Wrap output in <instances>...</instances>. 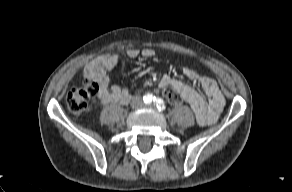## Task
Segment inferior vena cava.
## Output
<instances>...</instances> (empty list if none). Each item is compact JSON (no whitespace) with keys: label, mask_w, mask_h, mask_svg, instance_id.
<instances>
[{"label":"inferior vena cava","mask_w":292,"mask_h":192,"mask_svg":"<svg viewBox=\"0 0 292 192\" xmlns=\"http://www.w3.org/2000/svg\"><path fill=\"white\" fill-rule=\"evenodd\" d=\"M135 101H136V99H134V100L132 101V105H134Z\"/></svg>","instance_id":"602c4592"}]
</instances>
